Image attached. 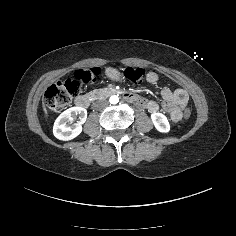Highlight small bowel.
Listing matches in <instances>:
<instances>
[{
    "label": "small bowel",
    "instance_id": "1",
    "mask_svg": "<svg viewBox=\"0 0 236 236\" xmlns=\"http://www.w3.org/2000/svg\"><path fill=\"white\" fill-rule=\"evenodd\" d=\"M155 79H157V76L152 75L151 78L149 79V82L150 83H155ZM163 94H164V96H168L169 91L164 90ZM174 96H176L177 99H178V103H177L178 113H177V116L175 117L174 120H178L181 117V109L186 105V103L188 101V95L183 90H177L175 92Z\"/></svg>",
    "mask_w": 236,
    "mask_h": 236
}]
</instances>
